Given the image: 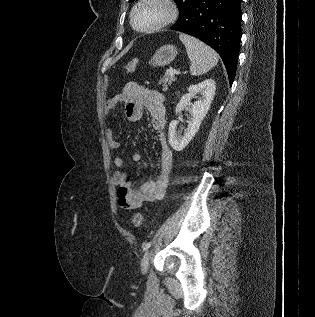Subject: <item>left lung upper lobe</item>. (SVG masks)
Masks as SVG:
<instances>
[{
  "instance_id": "5c2ea615",
  "label": "left lung upper lobe",
  "mask_w": 315,
  "mask_h": 317,
  "mask_svg": "<svg viewBox=\"0 0 315 317\" xmlns=\"http://www.w3.org/2000/svg\"><path fill=\"white\" fill-rule=\"evenodd\" d=\"M134 0H129V2H133ZM179 9H180V16L179 19L182 18V16L184 15V13L186 12L187 8L189 7V5L191 4L192 1L194 0H174Z\"/></svg>"
}]
</instances>
